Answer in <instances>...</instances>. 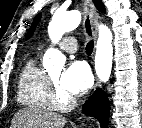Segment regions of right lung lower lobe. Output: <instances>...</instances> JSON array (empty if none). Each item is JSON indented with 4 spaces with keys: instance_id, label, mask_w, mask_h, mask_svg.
I'll return each instance as SVG.
<instances>
[{
    "instance_id": "obj_1",
    "label": "right lung lower lobe",
    "mask_w": 142,
    "mask_h": 128,
    "mask_svg": "<svg viewBox=\"0 0 142 128\" xmlns=\"http://www.w3.org/2000/svg\"><path fill=\"white\" fill-rule=\"evenodd\" d=\"M83 112L97 118L102 128H107L109 122L110 105L106 94L96 90L90 99L83 105Z\"/></svg>"
}]
</instances>
